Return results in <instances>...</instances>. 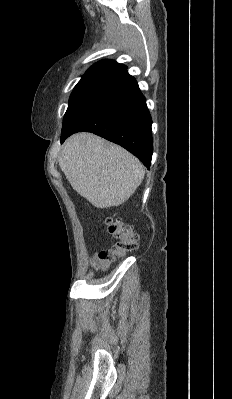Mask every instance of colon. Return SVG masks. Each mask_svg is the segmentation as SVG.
<instances>
[{"label":"colon","mask_w":232,"mask_h":399,"mask_svg":"<svg viewBox=\"0 0 232 399\" xmlns=\"http://www.w3.org/2000/svg\"><path fill=\"white\" fill-rule=\"evenodd\" d=\"M98 222L106 224L108 234H112V250L104 249L96 253V264H101L102 270L106 269V262L113 261L117 253L125 256L129 252H137V232L131 230L130 223L121 222V218L117 217L114 225L113 218L107 220L102 206L98 207Z\"/></svg>","instance_id":"colon-1"}]
</instances>
